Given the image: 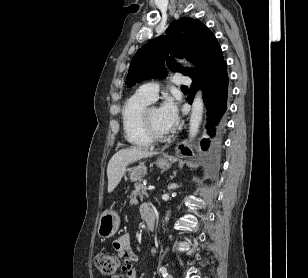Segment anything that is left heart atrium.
Instances as JSON below:
<instances>
[{"instance_id":"left-heart-atrium-1","label":"left heart atrium","mask_w":308,"mask_h":278,"mask_svg":"<svg viewBox=\"0 0 308 278\" xmlns=\"http://www.w3.org/2000/svg\"><path fill=\"white\" fill-rule=\"evenodd\" d=\"M159 122L164 133L172 131L178 124V109L172 100H167L158 109Z\"/></svg>"}]
</instances>
